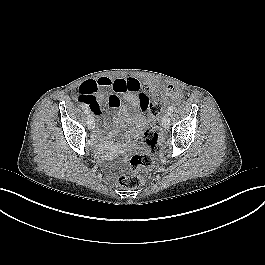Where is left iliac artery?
<instances>
[{
  "instance_id": "44dca946",
  "label": "left iliac artery",
  "mask_w": 265,
  "mask_h": 265,
  "mask_svg": "<svg viewBox=\"0 0 265 265\" xmlns=\"http://www.w3.org/2000/svg\"><path fill=\"white\" fill-rule=\"evenodd\" d=\"M174 109H175V106L174 105L169 106L168 109H167V113L168 114L173 113Z\"/></svg>"
}]
</instances>
